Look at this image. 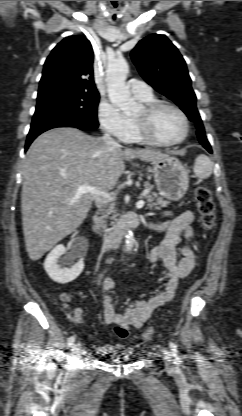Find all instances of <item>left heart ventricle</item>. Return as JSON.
Returning <instances> with one entry per match:
<instances>
[{
	"label": "left heart ventricle",
	"mask_w": 242,
	"mask_h": 416,
	"mask_svg": "<svg viewBox=\"0 0 242 416\" xmlns=\"http://www.w3.org/2000/svg\"><path fill=\"white\" fill-rule=\"evenodd\" d=\"M143 116L141 109L135 118ZM151 128L157 138L163 141H174L181 137L184 125L180 116L170 108H162L154 114Z\"/></svg>",
	"instance_id": "1"
}]
</instances>
